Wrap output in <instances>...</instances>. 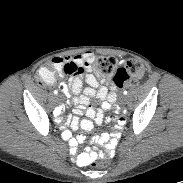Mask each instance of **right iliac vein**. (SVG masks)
<instances>
[{
  "instance_id": "right-iliac-vein-1",
  "label": "right iliac vein",
  "mask_w": 183,
  "mask_h": 183,
  "mask_svg": "<svg viewBox=\"0 0 183 183\" xmlns=\"http://www.w3.org/2000/svg\"><path fill=\"white\" fill-rule=\"evenodd\" d=\"M57 97H58V99H61V98H62V96H61V95H58Z\"/></svg>"
}]
</instances>
